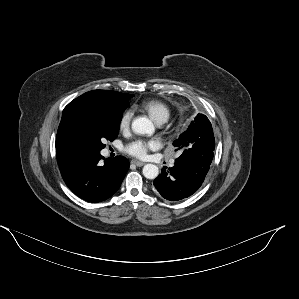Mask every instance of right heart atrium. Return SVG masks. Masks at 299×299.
I'll return each mask as SVG.
<instances>
[{"instance_id":"1","label":"right heart atrium","mask_w":299,"mask_h":299,"mask_svg":"<svg viewBox=\"0 0 299 299\" xmlns=\"http://www.w3.org/2000/svg\"><path fill=\"white\" fill-rule=\"evenodd\" d=\"M132 116L133 111L131 109H127L122 113L118 124L120 131H126L129 128Z\"/></svg>"}]
</instances>
